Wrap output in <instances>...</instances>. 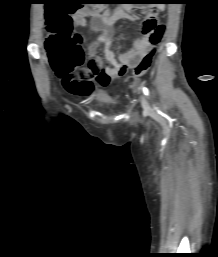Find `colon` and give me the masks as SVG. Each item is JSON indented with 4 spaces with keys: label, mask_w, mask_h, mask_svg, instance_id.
<instances>
[{
    "label": "colon",
    "mask_w": 218,
    "mask_h": 257,
    "mask_svg": "<svg viewBox=\"0 0 218 257\" xmlns=\"http://www.w3.org/2000/svg\"><path fill=\"white\" fill-rule=\"evenodd\" d=\"M80 8L79 5H47L49 11L46 15L48 31L46 49L51 64L59 77L69 78L84 63L82 37L72 31L70 17ZM138 9L150 10L147 18L142 23V32L149 34L153 47L134 67L131 82L143 76L150 68L154 57V47L160 42L164 32V27L159 23L153 5H139Z\"/></svg>",
    "instance_id": "1"
}]
</instances>
